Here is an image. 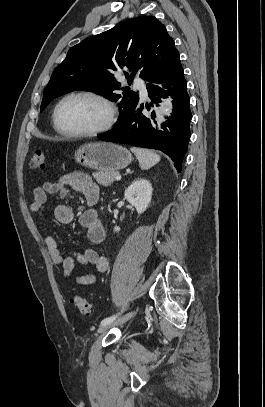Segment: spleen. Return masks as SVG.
Here are the masks:
<instances>
[{"label":"spleen","instance_id":"obj_1","mask_svg":"<svg viewBox=\"0 0 265 407\" xmlns=\"http://www.w3.org/2000/svg\"><path fill=\"white\" fill-rule=\"evenodd\" d=\"M130 150L135 154L143 170L153 167L160 161V156L151 150L136 147H131Z\"/></svg>","mask_w":265,"mask_h":407}]
</instances>
